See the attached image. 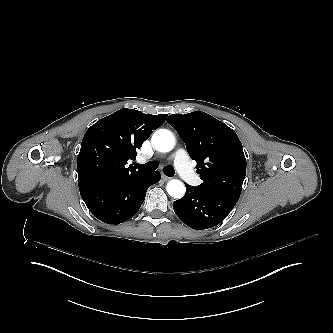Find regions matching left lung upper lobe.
<instances>
[{
	"label": "left lung upper lobe",
	"mask_w": 333,
	"mask_h": 333,
	"mask_svg": "<svg viewBox=\"0 0 333 333\" xmlns=\"http://www.w3.org/2000/svg\"><path fill=\"white\" fill-rule=\"evenodd\" d=\"M172 125L197 162V173L206 191L240 196L246 175V158L237 134L223 122L202 111L170 115Z\"/></svg>",
	"instance_id": "1"
}]
</instances>
